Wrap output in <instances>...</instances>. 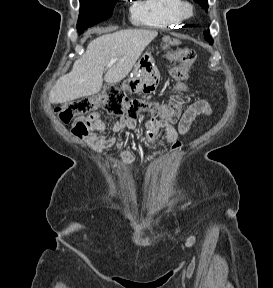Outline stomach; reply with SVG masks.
I'll list each match as a JSON object with an SVG mask.
<instances>
[{"label":"stomach","mask_w":273,"mask_h":288,"mask_svg":"<svg viewBox=\"0 0 273 288\" xmlns=\"http://www.w3.org/2000/svg\"><path fill=\"white\" fill-rule=\"evenodd\" d=\"M164 48L172 44L170 37H164ZM134 78L128 79L123 83V88L130 93L148 94L156 88L157 68L152 54L148 51L142 55L134 66Z\"/></svg>","instance_id":"1"}]
</instances>
